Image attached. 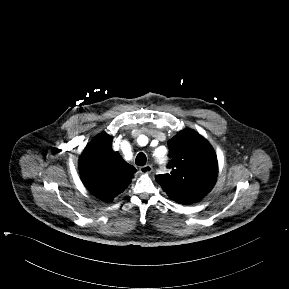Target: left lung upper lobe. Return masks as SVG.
<instances>
[{
    "label": "left lung upper lobe",
    "mask_w": 289,
    "mask_h": 289,
    "mask_svg": "<svg viewBox=\"0 0 289 289\" xmlns=\"http://www.w3.org/2000/svg\"><path fill=\"white\" fill-rule=\"evenodd\" d=\"M170 174L156 175L168 196L180 204H192L213 188L218 163L212 146L191 129L180 131L168 141Z\"/></svg>",
    "instance_id": "left-lung-upper-lobe-1"
}]
</instances>
